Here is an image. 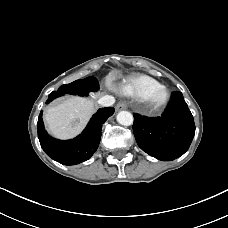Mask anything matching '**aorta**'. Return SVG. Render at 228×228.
I'll return each mask as SVG.
<instances>
[{
	"label": "aorta",
	"instance_id": "1",
	"mask_svg": "<svg viewBox=\"0 0 228 228\" xmlns=\"http://www.w3.org/2000/svg\"><path fill=\"white\" fill-rule=\"evenodd\" d=\"M117 122L124 126H130L133 123V116L128 111H120L116 116Z\"/></svg>",
	"mask_w": 228,
	"mask_h": 228
}]
</instances>
